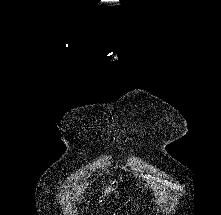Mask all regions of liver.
Returning <instances> with one entry per match:
<instances>
[{
	"mask_svg": "<svg viewBox=\"0 0 221 215\" xmlns=\"http://www.w3.org/2000/svg\"><path fill=\"white\" fill-rule=\"evenodd\" d=\"M113 190H114L113 187H108V188H106V190H105V194H108V193H110V192L113 191Z\"/></svg>",
	"mask_w": 221,
	"mask_h": 215,
	"instance_id": "liver-1",
	"label": "liver"
}]
</instances>
